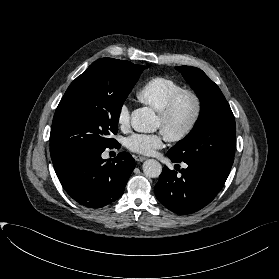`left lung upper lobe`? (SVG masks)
I'll return each instance as SVG.
<instances>
[{"instance_id":"1","label":"left lung upper lobe","mask_w":279,"mask_h":279,"mask_svg":"<svg viewBox=\"0 0 279 279\" xmlns=\"http://www.w3.org/2000/svg\"><path fill=\"white\" fill-rule=\"evenodd\" d=\"M201 103L193 130L169 151L178 162L210 166L229 175L235 151L236 129L231 108L219 87L200 69L180 66Z\"/></svg>"}]
</instances>
